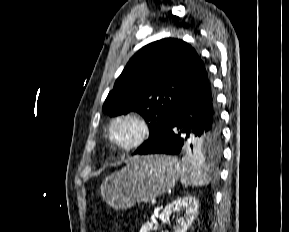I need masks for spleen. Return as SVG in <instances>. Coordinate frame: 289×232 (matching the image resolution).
<instances>
[{
    "label": "spleen",
    "mask_w": 289,
    "mask_h": 232,
    "mask_svg": "<svg viewBox=\"0 0 289 232\" xmlns=\"http://www.w3.org/2000/svg\"><path fill=\"white\" fill-rule=\"evenodd\" d=\"M180 178L184 185L204 186L208 184V180L203 173L201 165L193 159L186 157L182 158Z\"/></svg>",
    "instance_id": "spleen-1"
}]
</instances>
